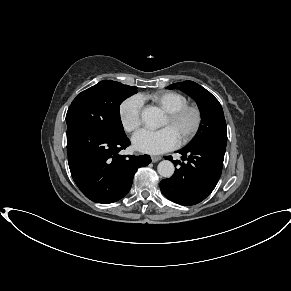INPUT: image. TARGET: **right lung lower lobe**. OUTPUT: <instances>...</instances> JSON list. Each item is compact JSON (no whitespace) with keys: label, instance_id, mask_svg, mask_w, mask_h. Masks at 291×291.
I'll use <instances>...</instances> for the list:
<instances>
[{"label":"right lung lower lobe","instance_id":"1","mask_svg":"<svg viewBox=\"0 0 291 291\" xmlns=\"http://www.w3.org/2000/svg\"><path fill=\"white\" fill-rule=\"evenodd\" d=\"M129 145L125 134L104 136L81 127L67 128L69 168L87 198L106 204L129 192L137 169L151 162L149 155H119Z\"/></svg>","mask_w":291,"mask_h":291}]
</instances>
